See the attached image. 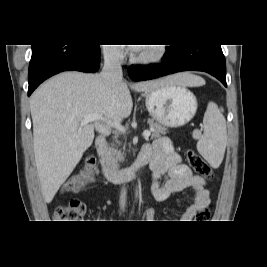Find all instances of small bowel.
<instances>
[{
  "mask_svg": "<svg viewBox=\"0 0 267 267\" xmlns=\"http://www.w3.org/2000/svg\"><path fill=\"white\" fill-rule=\"evenodd\" d=\"M140 156L148 157L151 162L152 193L157 201L163 202L185 189L194 191V201L181 217L183 222H189L196 212L210 204V195L205 181L200 176L194 175L187 165L181 163L180 155L174 150L168 138H157L151 144L145 145ZM86 183L87 181L76 180L73 187L68 190L75 192ZM153 217L154 211L147 209L144 218L149 221Z\"/></svg>",
  "mask_w": 267,
  "mask_h": 267,
  "instance_id": "obj_1",
  "label": "small bowel"
}]
</instances>
